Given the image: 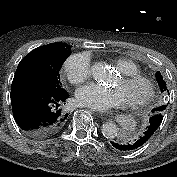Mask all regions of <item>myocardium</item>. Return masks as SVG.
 <instances>
[{
  "mask_svg": "<svg viewBox=\"0 0 177 177\" xmlns=\"http://www.w3.org/2000/svg\"><path fill=\"white\" fill-rule=\"evenodd\" d=\"M120 79L123 82H129V83L140 82V83H143L146 87V93L141 99L126 102V105L128 107H130L132 109L141 108V107L145 106L146 104H148L151 101V99L153 98L154 93H155V85H154V82L150 78H148L147 76L140 74V73H138V74H121Z\"/></svg>",
  "mask_w": 177,
  "mask_h": 177,
  "instance_id": "myocardium-1",
  "label": "myocardium"
}]
</instances>
